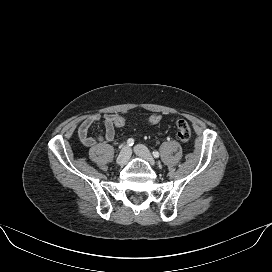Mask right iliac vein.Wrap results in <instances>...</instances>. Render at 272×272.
Listing matches in <instances>:
<instances>
[{"instance_id":"1","label":"right iliac vein","mask_w":272,"mask_h":272,"mask_svg":"<svg viewBox=\"0 0 272 272\" xmlns=\"http://www.w3.org/2000/svg\"><path fill=\"white\" fill-rule=\"evenodd\" d=\"M131 155V151L130 148L128 146H124L117 158V164L120 166H124L127 164V162L129 161Z\"/></svg>"}]
</instances>
